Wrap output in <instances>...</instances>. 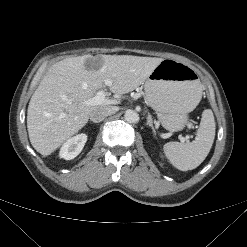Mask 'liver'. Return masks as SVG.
<instances>
[{
    "mask_svg": "<svg viewBox=\"0 0 247 247\" xmlns=\"http://www.w3.org/2000/svg\"><path fill=\"white\" fill-rule=\"evenodd\" d=\"M162 58L132 55H83L53 64L32 95L27 110V130L34 149L48 156L78 133L90 114L118 104L117 100L88 105L110 80L114 94L133 91L149 77ZM97 61V65H92Z\"/></svg>",
    "mask_w": 247,
    "mask_h": 247,
    "instance_id": "6515ba94",
    "label": "liver"
}]
</instances>
